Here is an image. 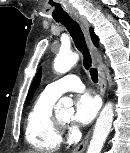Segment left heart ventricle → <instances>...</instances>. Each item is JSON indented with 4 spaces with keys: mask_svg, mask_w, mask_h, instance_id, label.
<instances>
[{
    "mask_svg": "<svg viewBox=\"0 0 130 153\" xmlns=\"http://www.w3.org/2000/svg\"><path fill=\"white\" fill-rule=\"evenodd\" d=\"M60 119L64 122H68V120L70 119V113H66V114H61L59 115Z\"/></svg>",
    "mask_w": 130,
    "mask_h": 153,
    "instance_id": "obj_1",
    "label": "left heart ventricle"
}]
</instances>
